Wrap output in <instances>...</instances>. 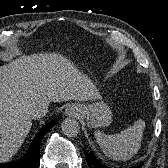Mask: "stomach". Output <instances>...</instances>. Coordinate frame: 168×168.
<instances>
[{
  "instance_id": "obj_1",
  "label": "stomach",
  "mask_w": 168,
  "mask_h": 168,
  "mask_svg": "<svg viewBox=\"0 0 168 168\" xmlns=\"http://www.w3.org/2000/svg\"><path fill=\"white\" fill-rule=\"evenodd\" d=\"M83 117L90 127H105L112 121L110 107L103 101L83 106Z\"/></svg>"
}]
</instances>
